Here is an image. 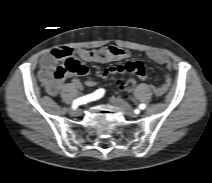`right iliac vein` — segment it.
<instances>
[{
	"label": "right iliac vein",
	"instance_id": "1",
	"mask_svg": "<svg viewBox=\"0 0 212 183\" xmlns=\"http://www.w3.org/2000/svg\"><path fill=\"white\" fill-rule=\"evenodd\" d=\"M69 112L72 115H79L80 114V109H70Z\"/></svg>",
	"mask_w": 212,
	"mask_h": 183
}]
</instances>
